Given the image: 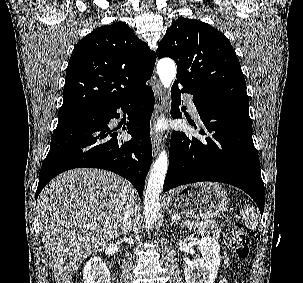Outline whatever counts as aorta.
<instances>
[{"label": "aorta", "instance_id": "1", "mask_svg": "<svg viewBox=\"0 0 303 283\" xmlns=\"http://www.w3.org/2000/svg\"><path fill=\"white\" fill-rule=\"evenodd\" d=\"M176 65L170 58H163L157 64V73L165 88H169L176 77ZM168 169V154L161 151L150 172L144 195V220L147 230L152 229L160 209V193Z\"/></svg>", "mask_w": 303, "mask_h": 283}]
</instances>
